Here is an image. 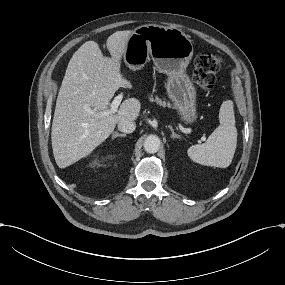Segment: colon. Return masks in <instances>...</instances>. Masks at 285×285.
I'll list each match as a JSON object with an SVG mask.
<instances>
[{"label": "colon", "mask_w": 285, "mask_h": 285, "mask_svg": "<svg viewBox=\"0 0 285 285\" xmlns=\"http://www.w3.org/2000/svg\"><path fill=\"white\" fill-rule=\"evenodd\" d=\"M221 63L222 59L211 52H206L196 58L193 80L200 89L210 91L214 88L216 74Z\"/></svg>", "instance_id": "5ec220e1"}]
</instances>
